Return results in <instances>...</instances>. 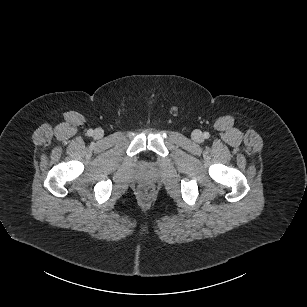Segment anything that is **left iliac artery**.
<instances>
[{"instance_id": "44dca946", "label": "left iliac artery", "mask_w": 307, "mask_h": 307, "mask_svg": "<svg viewBox=\"0 0 307 307\" xmlns=\"http://www.w3.org/2000/svg\"><path fill=\"white\" fill-rule=\"evenodd\" d=\"M204 138L208 139L210 137V134L208 132H204Z\"/></svg>"}]
</instances>
